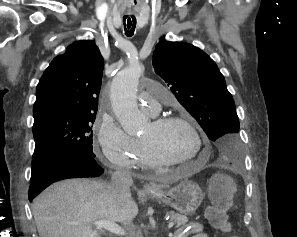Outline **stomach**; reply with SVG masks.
I'll use <instances>...</instances> for the list:
<instances>
[{
    "mask_svg": "<svg viewBox=\"0 0 297 237\" xmlns=\"http://www.w3.org/2000/svg\"><path fill=\"white\" fill-rule=\"evenodd\" d=\"M147 194L183 214H193L204 198L199 185L188 180L180 182L167 191L159 188L148 191Z\"/></svg>",
    "mask_w": 297,
    "mask_h": 237,
    "instance_id": "obj_1",
    "label": "stomach"
}]
</instances>
